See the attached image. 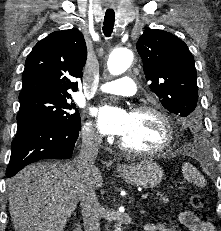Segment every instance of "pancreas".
<instances>
[{
	"label": "pancreas",
	"instance_id": "obj_1",
	"mask_svg": "<svg viewBox=\"0 0 221 231\" xmlns=\"http://www.w3.org/2000/svg\"><path fill=\"white\" fill-rule=\"evenodd\" d=\"M156 199H158L159 201L163 202V203H168L169 202V198L165 195H159Z\"/></svg>",
	"mask_w": 221,
	"mask_h": 231
}]
</instances>
